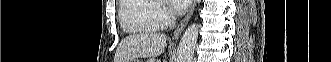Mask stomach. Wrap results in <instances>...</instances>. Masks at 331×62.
Instances as JSON below:
<instances>
[{
  "mask_svg": "<svg viewBox=\"0 0 331 62\" xmlns=\"http://www.w3.org/2000/svg\"><path fill=\"white\" fill-rule=\"evenodd\" d=\"M132 62H141V61L135 59V60H133Z\"/></svg>",
  "mask_w": 331,
  "mask_h": 62,
  "instance_id": "1",
  "label": "stomach"
}]
</instances>
